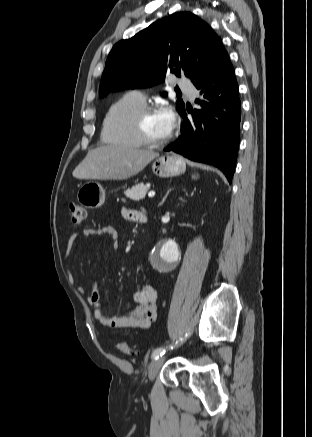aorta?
<instances>
[{
	"mask_svg": "<svg viewBox=\"0 0 312 437\" xmlns=\"http://www.w3.org/2000/svg\"><path fill=\"white\" fill-rule=\"evenodd\" d=\"M179 256L178 246L174 241L168 240L163 242L156 250L154 260L158 269L163 268L167 262L174 261Z\"/></svg>",
	"mask_w": 312,
	"mask_h": 437,
	"instance_id": "762f6f07",
	"label": "aorta"
}]
</instances>
